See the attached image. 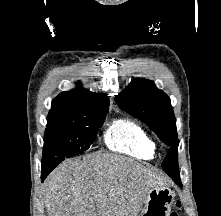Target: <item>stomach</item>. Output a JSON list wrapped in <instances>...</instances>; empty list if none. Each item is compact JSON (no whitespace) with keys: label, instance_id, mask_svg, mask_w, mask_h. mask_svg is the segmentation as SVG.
I'll return each mask as SVG.
<instances>
[{"label":"stomach","instance_id":"obj_1","mask_svg":"<svg viewBox=\"0 0 221 216\" xmlns=\"http://www.w3.org/2000/svg\"><path fill=\"white\" fill-rule=\"evenodd\" d=\"M174 196L169 187L153 188L145 198V206L140 216H169Z\"/></svg>","mask_w":221,"mask_h":216}]
</instances>
